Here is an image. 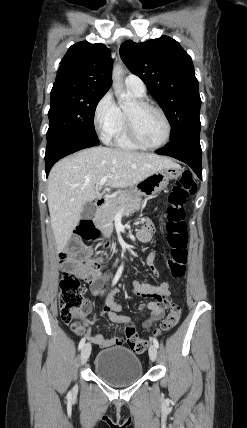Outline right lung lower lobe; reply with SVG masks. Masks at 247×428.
I'll use <instances>...</instances> for the list:
<instances>
[{
    "label": "right lung lower lobe",
    "mask_w": 247,
    "mask_h": 428,
    "mask_svg": "<svg viewBox=\"0 0 247 428\" xmlns=\"http://www.w3.org/2000/svg\"><path fill=\"white\" fill-rule=\"evenodd\" d=\"M98 139H88L72 135H61L47 140L45 154L46 175L48 176L52 166L61 158L81 149L95 146Z\"/></svg>",
    "instance_id": "obj_1"
}]
</instances>
